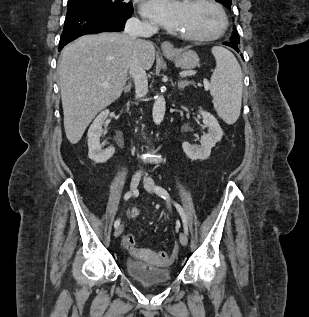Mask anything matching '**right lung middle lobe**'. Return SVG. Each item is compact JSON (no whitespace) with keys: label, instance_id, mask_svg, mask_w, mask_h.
Here are the masks:
<instances>
[{"label":"right lung middle lobe","instance_id":"dd1d6c3e","mask_svg":"<svg viewBox=\"0 0 309 317\" xmlns=\"http://www.w3.org/2000/svg\"><path fill=\"white\" fill-rule=\"evenodd\" d=\"M67 6L114 10L122 13L133 12L132 3L123 0H68Z\"/></svg>","mask_w":309,"mask_h":317}]
</instances>
